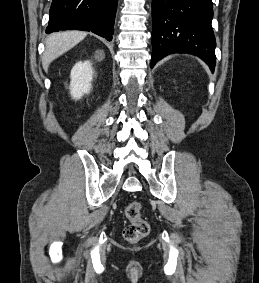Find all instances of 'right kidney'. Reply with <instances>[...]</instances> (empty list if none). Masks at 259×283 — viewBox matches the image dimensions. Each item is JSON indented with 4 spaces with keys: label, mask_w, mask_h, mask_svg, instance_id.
Wrapping results in <instances>:
<instances>
[{
    "label": "right kidney",
    "mask_w": 259,
    "mask_h": 283,
    "mask_svg": "<svg viewBox=\"0 0 259 283\" xmlns=\"http://www.w3.org/2000/svg\"><path fill=\"white\" fill-rule=\"evenodd\" d=\"M93 68L90 61H79L71 70L70 94L73 99H81L92 89Z\"/></svg>",
    "instance_id": "ca27d5eb"
}]
</instances>
